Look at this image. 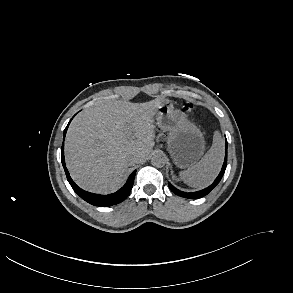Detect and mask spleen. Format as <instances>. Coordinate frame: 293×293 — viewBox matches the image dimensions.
Instances as JSON below:
<instances>
[{"instance_id":"1","label":"spleen","mask_w":293,"mask_h":293,"mask_svg":"<svg viewBox=\"0 0 293 293\" xmlns=\"http://www.w3.org/2000/svg\"><path fill=\"white\" fill-rule=\"evenodd\" d=\"M224 158V141L216 131L213 143L207 153L195 165L180 172V178L187 185L203 188L209 185L220 172Z\"/></svg>"}]
</instances>
